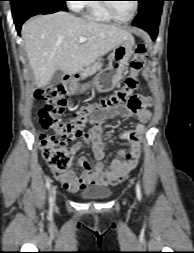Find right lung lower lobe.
<instances>
[{
  "mask_svg": "<svg viewBox=\"0 0 194 253\" xmlns=\"http://www.w3.org/2000/svg\"><path fill=\"white\" fill-rule=\"evenodd\" d=\"M57 11H67L65 1L59 0H24L12 7V15L17 32L21 25L31 16L37 14H51Z\"/></svg>",
  "mask_w": 194,
  "mask_h": 253,
  "instance_id": "obj_1",
  "label": "right lung lower lobe"
}]
</instances>
